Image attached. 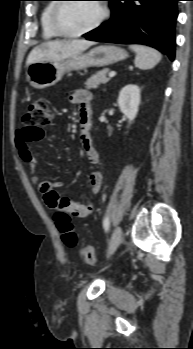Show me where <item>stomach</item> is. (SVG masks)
Returning a JSON list of instances; mask_svg holds the SVG:
<instances>
[{
	"label": "stomach",
	"instance_id": "0dacf381",
	"mask_svg": "<svg viewBox=\"0 0 193 349\" xmlns=\"http://www.w3.org/2000/svg\"><path fill=\"white\" fill-rule=\"evenodd\" d=\"M127 52L114 45H100L89 52L60 61L35 62L28 66L26 79L36 89L55 85L70 71L88 67H104L126 59Z\"/></svg>",
	"mask_w": 193,
	"mask_h": 349
}]
</instances>
